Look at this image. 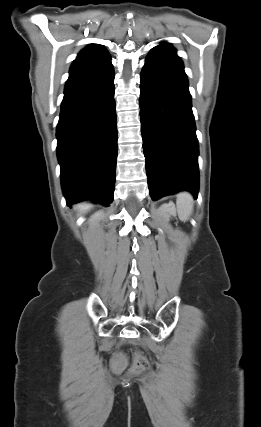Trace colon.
I'll use <instances>...</instances> for the list:
<instances>
[{
    "mask_svg": "<svg viewBox=\"0 0 261 427\" xmlns=\"http://www.w3.org/2000/svg\"><path fill=\"white\" fill-rule=\"evenodd\" d=\"M148 366V361L147 359L140 353L136 354L135 357V362H134V366H133V371L134 372H141L143 370H145Z\"/></svg>",
    "mask_w": 261,
    "mask_h": 427,
    "instance_id": "colon-1",
    "label": "colon"
}]
</instances>
